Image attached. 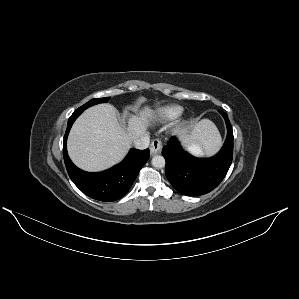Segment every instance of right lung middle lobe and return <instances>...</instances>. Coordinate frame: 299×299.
<instances>
[{"label":"right lung middle lobe","mask_w":299,"mask_h":299,"mask_svg":"<svg viewBox=\"0 0 299 299\" xmlns=\"http://www.w3.org/2000/svg\"><path fill=\"white\" fill-rule=\"evenodd\" d=\"M110 99V97H105V98H94L92 100H90L89 102H87L86 104H84L83 106L79 107L81 109H87L88 107L90 106H93L95 104H98V103H105L107 102L108 100Z\"/></svg>","instance_id":"obj_1"}]
</instances>
